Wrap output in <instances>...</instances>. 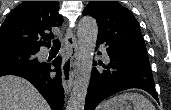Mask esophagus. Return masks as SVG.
<instances>
[{
    "label": "esophagus",
    "mask_w": 171,
    "mask_h": 110,
    "mask_svg": "<svg viewBox=\"0 0 171 110\" xmlns=\"http://www.w3.org/2000/svg\"><path fill=\"white\" fill-rule=\"evenodd\" d=\"M66 55L62 63V83L66 94H69L74 81L78 60L79 48L76 37L70 28H67L65 34Z\"/></svg>",
    "instance_id": "obj_1"
}]
</instances>
